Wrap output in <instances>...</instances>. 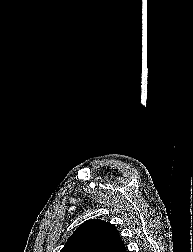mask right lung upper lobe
I'll return each instance as SVG.
<instances>
[{"mask_svg":"<svg viewBox=\"0 0 193 252\" xmlns=\"http://www.w3.org/2000/svg\"><path fill=\"white\" fill-rule=\"evenodd\" d=\"M60 252L127 251L113 225L100 219H91L76 229Z\"/></svg>","mask_w":193,"mask_h":252,"instance_id":"obj_1","label":"right lung upper lobe"}]
</instances>
